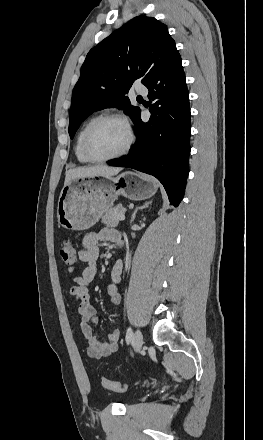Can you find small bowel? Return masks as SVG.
<instances>
[{"label": "small bowel", "instance_id": "1", "mask_svg": "<svg viewBox=\"0 0 263 440\" xmlns=\"http://www.w3.org/2000/svg\"><path fill=\"white\" fill-rule=\"evenodd\" d=\"M112 243L116 246L122 243L121 233L114 229H102L84 237L82 249L78 252L79 260L86 264L82 273L73 278L70 295L75 299L80 314L79 327L87 342V354L94 359L106 357L117 350V342L120 331L114 329L106 340L99 339L94 332L97 323L96 308L90 301L89 286L95 279L98 270L99 244ZM123 271L122 261H117L111 271V284L108 287V295L113 305H119L121 296L117 290V284Z\"/></svg>", "mask_w": 263, "mask_h": 440}]
</instances>
